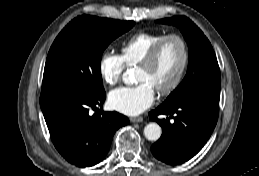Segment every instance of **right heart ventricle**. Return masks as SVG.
Segmentation results:
<instances>
[{"mask_svg":"<svg viewBox=\"0 0 259 176\" xmlns=\"http://www.w3.org/2000/svg\"><path fill=\"white\" fill-rule=\"evenodd\" d=\"M165 34L162 32H139L130 36L121 47V58L128 67L137 66L151 48Z\"/></svg>","mask_w":259,"mask_h":176,"instance_id":"right-heart-ventricle-1","label":"right heart ventricle"}]
</instances>
